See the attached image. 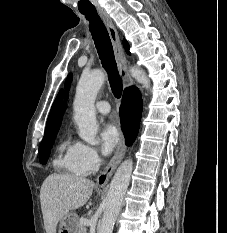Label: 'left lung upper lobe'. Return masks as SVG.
Segmentation results:
<instances>
[{
	"mask_svg": "<svg viewBox=\"0 0 227 233\" xmlns=\"http://www.w3.org/2000/svg\"><path fill=\"white\" fill-rule=\"evenodd\" d=\"M123 44H124V47H125V49H126V52H127L128 54H130V52H129V45H128L127 41L124 40V41H123ZM71 80H72V74H70V75L67 77V79H66V82H65V87H66V89H69L70 84H71ZM66 97H67V93H66Z\"/></svg>",
	"mask_w": 227,
	"mask_h": 233,
	"instance_id": "1",
	"label": "left lung upper lobe"
}]
</instances>
